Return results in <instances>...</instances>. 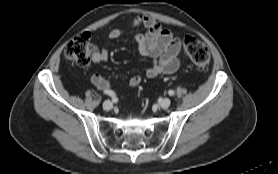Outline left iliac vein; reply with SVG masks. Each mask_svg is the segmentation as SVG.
I'll return each mask as SVG.
<instances>
[{
  "instance_id": "obj_1",
  "label": "left iliac vein",
  "mask_w": 278,
  "mask_h": 174,
  "mask_svg": "<svg viewBox=\"0 0 278 174\" xmlns=\"http://www.w3.org/2000/svg\"><path fill=\"white\" fill-rule=\"evenodd\" d=\"M171 104V100L169 98H164L161 102H160V107L162 109H167Z\"/></svg>"
}]
</instances>
